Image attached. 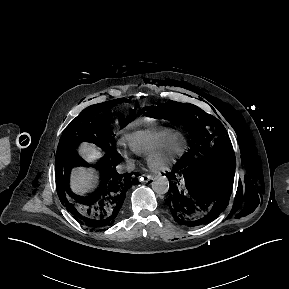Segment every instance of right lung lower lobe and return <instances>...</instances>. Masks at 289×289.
Returning <instances> with one entry per match:
<instances>
[{
  "label": "right lung lower lobe",
  "instance_id": "obj_1",
  "mask_svg": "<svg viewBox=\"0 0 289 289\" xmlns=\"http://www.w3.org/2000/svg\"><path fill=\"white\" fill-rule=\"evenodd\" d=\"M106 151L107 154L96 166L101 174V183L92 194L80 196L70 189L71 169L75 166H89L77 153L72 154L70 170L56 181L57 194L61 203L74 219L90 228V231L103 230L115 223L121 215L127 190L133 184H138L139 174L133 172L120 175L116 171V166L120 162L118 154L111 147Z\"/></svg>",
  "mask_w": 289,
  "mask_h": 289
}]
</instances>
